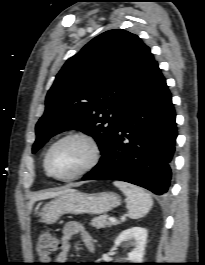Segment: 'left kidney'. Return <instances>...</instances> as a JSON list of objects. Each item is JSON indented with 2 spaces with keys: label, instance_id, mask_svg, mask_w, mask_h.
Listing matches in <instances>:
<instances>
[{
  "label": "left kidney",
  "instance_id": "5707ae66",
  "mask_svg": "<svg viewBox=\"0 0 205 265\" xmlns=\"http://www.w3.org/2000/svg\"><path fill=\"white\" fill-rule=\"evenodd\" d=\"M147 230L142 227H132L122 231L115 240V245L119 246L122 242L127 241L133 247L128 253V260L131 263H141L143 260L144 250L147 241Z\"/></svg>",
  "mask_w": 205,
  "mask_h": 265
}]
</instances>
